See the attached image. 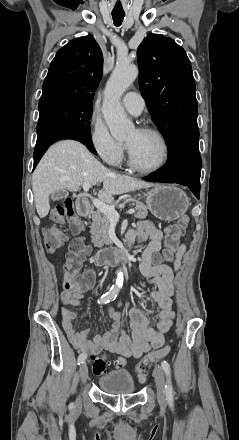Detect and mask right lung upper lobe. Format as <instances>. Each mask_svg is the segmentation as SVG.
<instances>
[{"label": "right lung upper lobe", "instance_id": "right-lung-upper-lobe-1", "mask_svg": "<svg viewBox=\"0 0 239 440\" xmlns=\"http://www.w3.org/2000/svg\"><path fill=\"white\" fill-rule=\"evenodd\" d=\"M102 70V51L92 35L70 41L51 62L39 103L69 98L92 104Z\"/></svg>", "mask_w": 239, "mask_h": 440}]
</instances>
